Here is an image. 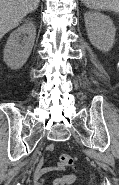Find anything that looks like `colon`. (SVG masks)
I'll return each instance as SVG.
<instances>
[{
    "label": "colon",
    "instance_id": "obj_1",
    "mask_svg": "<svg viewBox=\"0 0 119 185\" xmlns=\"http://www.w3.org/2000/svg\"><path fill=\"white\" fill-rule=\"evenodd\" d=\"M74 163H75L74 158L68 154H62L59 157V164L64 168L73 167Z\"/></svg>",
    "mask_w": 119,
    "mask_h": 185
}]
</instances>
